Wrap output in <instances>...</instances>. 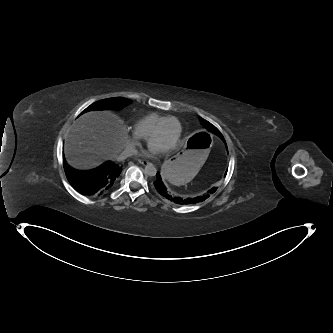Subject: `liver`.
Returning a JSON list of instances; mask_svg holds the SVG:
<instances>
[{
  "label": "liver",
  "mask_w": 333,
  "mask_h": 333,
  "mask_svg": "<svg viewBox=\"0 0 333 333\" xmlns=\"http://www.w3.org/2000/svg\"><path fill=\"white\" fill-rule=\"evenodd\" d=\"M127 129L109 111H92L80 116L66 134L65 156L68 163L82 170L117 157L125 147Z\"/></svg>",
  "instance_id": "liver-1"
}]
</instances>
